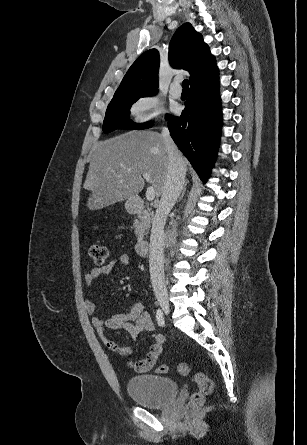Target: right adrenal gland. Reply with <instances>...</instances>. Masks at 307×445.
Masks as SVG:
<instances>
[{
    "label": "right adrenal gland",
    "instance_id": "1",
    "mask_svg": "<svg viewBox=\"0 0 307 445\" xmlns=\"http://www.w3.org/2000/svg\"><path fill=\"white\" fill-rule=\"evenodd\" d=\"M187 182H189V180H186V182H185V184H184V186H183L182 194H181V196H178V200H177V202H180V200H182V198H183V196H184V194H185V192H186Z\"/></svg>",
    "mask_w": 307,
    "mask_h": 445
}]
</instances>
